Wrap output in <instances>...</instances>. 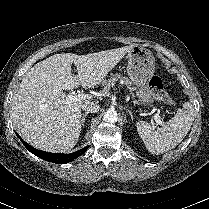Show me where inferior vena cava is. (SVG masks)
Segmentation results:
<instances>
[{
  "label": "inferior vena cava",
  "mask_w": 209,
  "mask_h": 209,
  "mask_svg": "<svg viewBox=\"0 0 209 209\" xmlns=\"http://www.w3.org/2000/svg\"><path fill=\"white\" fill-rule=\"evenodd\" d=\"M82 109L85 112H91V113H97L100 109V105L97 103H93V102H87L85 104L82 105Z\"/></svg>",
  "instance_id": "inferior-vena-cava-1"
}]
</instances>
